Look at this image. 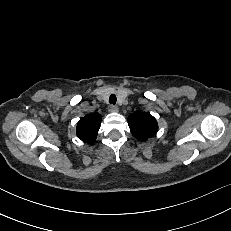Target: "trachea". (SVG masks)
Listing matches in <instances>:
<instances>
[{
	"label": "trachea",
	"mask_w": 231,
	"mask_h": 231,
	"mask_svg": "<svg viewBox=\"0 0 231 231\" xmlns=\"http://www.w3.org/2000/svg\"><path fill=\"white\" fill-rule=\"evenodd\" d=\"M117 98L114 94L109 97V103L115 105Z\"/></svg>",
	"instance_id": "obj_1"
}]
</instances>
